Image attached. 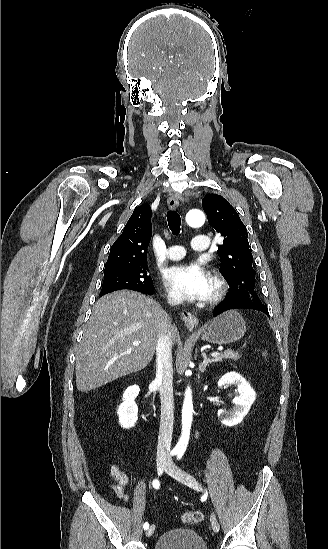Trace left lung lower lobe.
<instances>
[{
  "label": "left lung lower lobe",
  "mask_w": 328,
  "mask_h": 549,
  "mask_svg": "<svg viewBox=\"0 0 328 549\" xmlns=\"http://www.w3.org/2000/svg\"><path fill=\"white\" fill-rule=\"evenodd\" d=\"M247 308L261 311L269 315L268 308L261 300H243L239 298H228L214 309V317L230 309Z\"/></svg>",
  "instance_id": "0a47b994"
}]
</instances>
